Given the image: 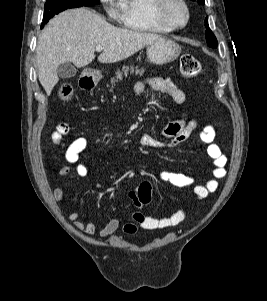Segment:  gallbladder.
Listing matches in <instances>:
<instances>
[{
  "label": "gallbladder",
  "mask_w": 267,
  "mask_h": 301,
  "mask_svg": "<svg viewBox=\"0 0 267 301\" xmlns=\"http://www.w3.org/2000/svg\"><path fill=\"white\" fill-rule=\"evenodd\" d=\"M76 73L77 69L71 62L62 63L57 68V74L62 79L72 78Z\"/></svg>",
  "instance_id": "1"
}]
</instances>
